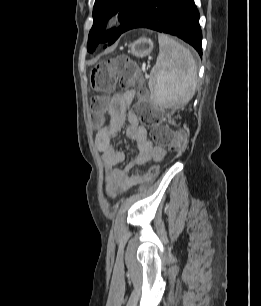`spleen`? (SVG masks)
Here are the masks:
<instances>
[{
	"label": "spleen",
	"instance_id": "3e777b00",
	"mask_svg": "<svg viewBox=\"0 0 261 306\" xmlns=\"http://www.w3.org/2000/svg\"><path fill=\"white\" fill-rule=\"evenodd\" d=\"M159 55L149 78L151 98L163 107H180L193 97L197 65L191 52L170 37L159 34Z\"/></svg>",
	"mask_w": 261,
	"mask_h": 306
}]
</instances>
